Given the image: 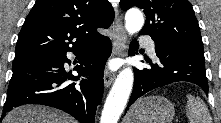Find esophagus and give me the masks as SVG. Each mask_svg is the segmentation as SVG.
<instances>
[{"label": "esophagus", "instance_id": "34e87169", "mask_svg": "<svg viewBox=\"0 0 221 123\" xmlns=\"http://www.w3.org/2000/svg\"><path fill=\"white\" fill-rule=\"evenodd\" d=\"M126 34L121 22L119 11H115L114 37H113V51L112 57L122 56L125 50ZM115 72L106 68L104 73V84L108 88L115 79Z\"/></svg>", "mask_w": 221, "mask_h": 123}]
</instances>
